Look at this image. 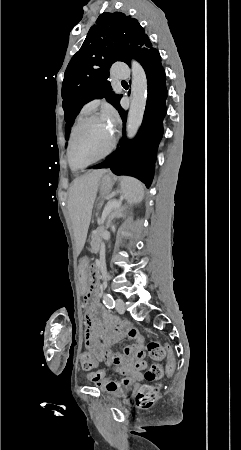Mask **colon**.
I'll return each instance as SVG.
<instances>
[{"instance_id":"colon-1","label":"colon","mask_w":241,"mask_h":450,"mask_svg":"<svg viewBox=\"0 0 241 450\" xmlns=\"http://www.w3.org/2000/svg\"><path fill=\"white\" fill-rule=\"evenodd\" d=\"M165 349H164V348ZM163 347L161 344L157 341H150L146 345V353L150 358H152L155 361L162 360L166 354L172 358L169 359V361L165 362L164 367L166 369L167 375L173 374V369L176 364V359L173 358L176 356V351L172 349L170 344L168 342H165L163 344ZM167 352H166V351ZM81 369L82 371H95L96 369V359L95 357H92V351L91 350H82L81 351ZM162 374V368L159 364H151L146 367L144 371V378L147 380H156L160 378ZM159 395V389L157 387L153 386H142L135 398V404L139 409L148 410L151 409Z\"/></svg>"}]
</instances>
